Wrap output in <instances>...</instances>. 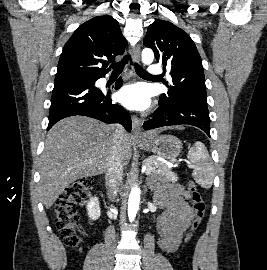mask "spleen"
Segmentation results:
<instances>
[{
	"label": "spleen",
	"mask_w": 267,
	"mask_h": 270,
	"mask_svg": "<svg viewBox=\"0 0 267 270\" xmlns=\"http://www.w3.org/2000/svg\"><path fill=\"white\" fill-rule=\"evenodd\" d=\"M187 158L194 166L192 173L194 180L201 187L209 189L213 183L214 168L205 145L202 142L194 143L188 152Z\"/></svg>",
	"instance_id": "1"
}]
</instances>
